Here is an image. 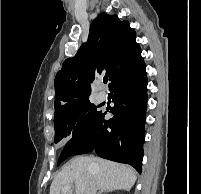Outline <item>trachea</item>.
<instances>
[{
    "label": "trachea",
    "mask_w": 201,
    "mask_h": 194,
    "mask_svg": "<svg viewBox=\"0 0 201 194\" xmlns=\"http://www.w3.org/2000/svg\"><path fill=\"white\" fill-rule=\"evenodd\" d=\"M103 81H104V83H107L108 82V77H104Z\"/></svg>",
    "instance_id": "obj_1"
}]
</instances>
